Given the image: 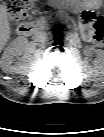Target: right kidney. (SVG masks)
<instances>
[{
    "instance_id": "right-kidney-1",
    "label": "right kidney",
    "mask_w": 104,
    "mask_h": 137,
    "mask_svg": "<svg viewBox=\"0 0 104 137\" xmlns=\"http://www.w3.org/2000/svg\"><path fill=\"white\" fill-rule=\"evenodd\" d=\"M27 44V38L22 36L17 37L9 44L0 60V67L2 71L9 74H19L28 67L30 63V58L28 56L19 63L12 64L14 61L13 58L21 55Z\"/></svg>"
}]
</instances>
